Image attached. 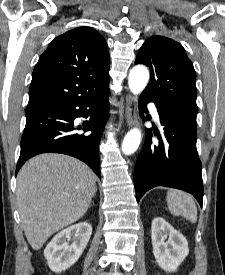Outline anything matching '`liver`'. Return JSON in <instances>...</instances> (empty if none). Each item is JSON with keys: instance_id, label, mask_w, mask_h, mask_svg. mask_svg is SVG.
<instances>
[{"instance_id": "6515ba94", "label": "liver", "mask_w": 225, "mask_h": 275, "mask_svg": "<svg viewBox=\"0 0 225 275\" xmlns=\"http://www.w3.org/2000/svg\"><path fill=\"white\" fill-rule=\"evenodd\" d=\"M96 176L76 158L46 153L17 175V204L25 236L39 250L55 232L78 221L96 190Z\"/></svg>"}]
</instances>
